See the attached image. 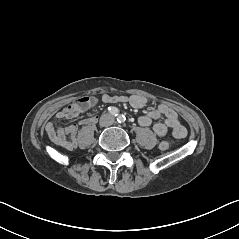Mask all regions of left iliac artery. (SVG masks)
Here are the masks:
<instances>
[{
	"label": "left iliac artery",
	"mask_w": 239,
	"mask_h": 239,
	"mask_svg": "<svg viewBox=\"0 0 239 239\" xmlns=\"http://www.w3.org/2000/svg\"><path fill=\"white\" fill-rule=\"evenodd\" d=\"M125 119H126V118H125L124 115H119L118 118H117V121H118L119 123H124Z\"/></svg>",
	"instance_id": "obj_1"
}]
</instances>
